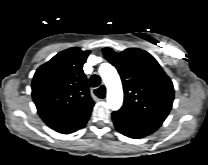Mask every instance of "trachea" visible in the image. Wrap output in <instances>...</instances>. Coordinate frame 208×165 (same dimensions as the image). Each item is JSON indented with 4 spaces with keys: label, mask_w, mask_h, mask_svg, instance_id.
<instances>
[{
    "label": "trachea",
    "mask_w": 208,
    "mask_h": 165,
    "mask_svg": "<svg viewBox=\"0 0 208 165\" xmlns=\"http://www.w3.org/2000/svg\"><path fill=\"white\" fill-rule=\"evenodd\" d=\"M101 79L98 75H92L90 77V85L91 87H97L100 85ZM94 93L99 97V98H104L105 97V89L103 87H100L96 90H94Z\"/></svg>",
    "instance_id": "obj_1"
}]
</instances>
